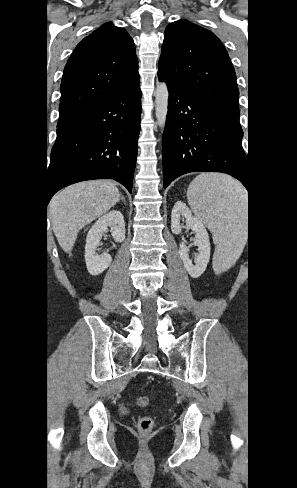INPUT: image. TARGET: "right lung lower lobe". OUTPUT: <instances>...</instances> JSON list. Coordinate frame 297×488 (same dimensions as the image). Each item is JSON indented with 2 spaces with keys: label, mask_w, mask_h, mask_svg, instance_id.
I'll use <instances>...</instances> for the list:
<instances>
[{
  "label": "right lung lower lobe",
  "mask_w": 297,
  "mask_h": 488,
  "mask_svg": "<svg viewBox=\"0 0 297 488\" xmlns=\"http://www.w3.org/2000/svg\"><path fill=\"white\" fill-rule=\"evenodd\" d=\"M139 78L58 122L47 171L46 202L80 181L114 179L131 193L140 131Z\"/></svg>",
  "instance_id": "98d812e1"
}]
</instances>
